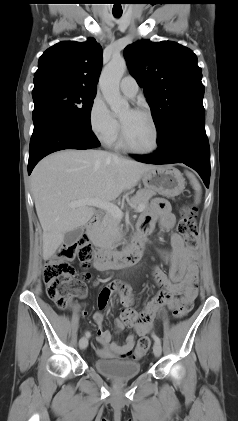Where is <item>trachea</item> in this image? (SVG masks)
<instances>
[{
	"label": "trachea",
	"mask_w": 238,
	"mask_h": 421,
	"mask_svg": "<svg viewBox=\"0 0 238 421\" xmlns=\"http://www.w3.org/2000/svg\"><path fill=\"white\" fill-rule=\"evenodd\" d=\"M113 15H114L116 18H119V17L122 15V13H113Z\"/></svg>",
	"instance_id": "1"
}]
</instances>
